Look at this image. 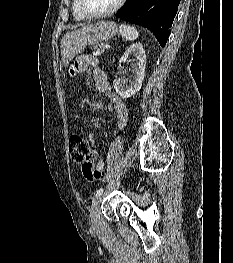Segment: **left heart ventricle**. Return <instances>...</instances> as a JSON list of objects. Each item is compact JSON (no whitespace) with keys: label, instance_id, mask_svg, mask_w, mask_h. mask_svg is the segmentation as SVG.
<instances>
[{"label":"left heart ventricle","instance_id":"1","mask_svg":"<svg viewBox=\"0 0 233 263\" xmlns=\"http://www.w3.org/2000/svg\"><path fill=\"white\" fill-rule=\"evenodd\" d=\"M117 0H82L83 7L90 13H100L110 9Z\"/></svg>","mask_w":233,"mask_h":263}]
</instances>
